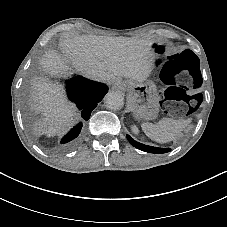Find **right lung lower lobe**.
<instances>
[{
  "mask_svg": "<svg viewBox=\"0 0 227 227\" xmlns=\"http://www.w3.org/2000/svg\"><path fill=\"white\" fill-rule=\"evenodd\" d=\"M108 91L105 84L88 80L81 76L67 81V92L69 99L76 103L81 110L82 118L87 121L90 118L92 110L103 99ZM82 128L80 122L61 140V148L67 149L74 145L75 138L79 135Z\"/></svg>",
  "mask_w": 227,
  "mask_h": 227,
  "instance_id": "98d812e1",
  "label": "right lung lower lobe"
}]
</instances>
